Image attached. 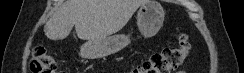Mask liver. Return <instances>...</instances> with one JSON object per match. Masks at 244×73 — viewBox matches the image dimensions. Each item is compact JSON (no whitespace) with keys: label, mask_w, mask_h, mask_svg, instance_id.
Instances as JSON below:
<instances>
[{"label":"liver","mask_w":244,"mask_h":73,"mask_svg":"<svg viewBox=\"0 0 244 73\" xmlns=\"http://www.w3.org/2000/svg\"><path fill=\"white\" fill-rule=\"evenodd\" d=\"M148 0H66L44 26L51 40L65 39L75 26L78 38L101 40L120 31Z\"/></svg>","instance_id":"1"}]
</instances>
